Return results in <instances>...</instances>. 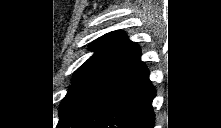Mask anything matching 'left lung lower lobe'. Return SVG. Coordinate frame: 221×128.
Here are the masks:
<instances>
[{"mask_svg":"<svg viewBox=\"0 0 221 128\" xmlns=\"http://www.w3.org/2000/svg\"><path fill=\"white\" fill-rule=\"evenodd\" d=\"M148 77L141 63L62 128H153L156 92Z\"/></svg>","mask_w":221,"mask_h":128,"instance_id":"obj_1","label":"left lung lower lobe"}]
</instances>
